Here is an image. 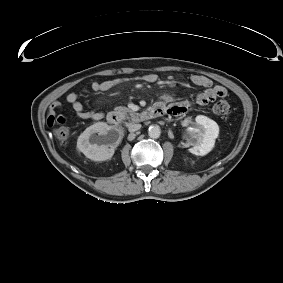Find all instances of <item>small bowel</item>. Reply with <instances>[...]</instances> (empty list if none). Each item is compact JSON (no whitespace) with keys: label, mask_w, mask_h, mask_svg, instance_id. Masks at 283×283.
I'll return each instance as SVG.
<instances>
[{"label":"small bowel","mask_w":283,"mask_h":283,"mask_svg":"<svg viewBox=\"0 0 283 283\" xmlns=\"http://www.w3.org/2000/svg\"><path fill=\"white\" fill-rule=\"evenodd\" d=\"M138 80H143L150 83H156L158 81V76L153 73L145 74L141 77L136 78ZM129 78H114L101 82H93L91 88L94 92H102L110 90L120 84L129 82ZM191 83L197 87L203 88V91L196 95L195 101L198 105L204 106L209 102L225 97L227 95V90L220 85H213V82L207 76L201 74H194L190 78ZM169 83H174L173 79H169ZM65 102L70 105L75 112L76 116L80 119H92L100 120L104 117V113L99 110H87L83 104L79 101L78 95L76 93H69ZM63 108V104L60 101L53 102L49 107V118L48 122L54 124L55 122H65V117L59 115L56 116V112ZM188 104L182 102L178 105L169 107V113L173 116H181L185 114L188 110Z\"/></svg>","instance_id":"small-bowel-1"}]
</instances>
